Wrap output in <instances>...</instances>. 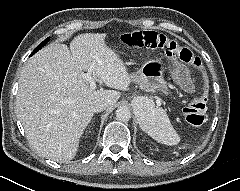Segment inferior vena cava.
<instances>
[{"mask_svg": "<svg viewBox=\"0 0 240 191\" xmlns=\"http://www.w3.org/2000/svg\"><path fill=\"white\" fill-rule=\"evenodd\" d=\"M107 104L104 102H98L93 105V111L94 112H101L107 109Z\"/></svg>", "mask_w": 240, "mask_h": 191, "instance_id": "602c4592", "label": "inferior vena cava"}]
</instances>
